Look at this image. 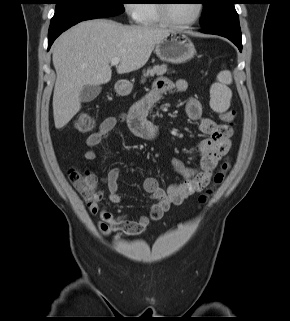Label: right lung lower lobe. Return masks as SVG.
Returning a JSON list of instances; mask_svg holds the SVG:
<instances>
[{
  "label": "right lung lower lobe",
  "mask_w": 290,
  "mask_h": 321,
  "mask_svg": "<svg viewBox=\"0 0 290 321\" xmlns=\"http://www.w3.org/2000/svg\"><path fill=\"white\" fill-rule=\"evenodd\" d=\"M83 20H77V21H69V22H64V23H55V24H50L49 28V34H48V50L51 47L52 43L54 40L65 30L70 28L71 26L81 22Z\"/></svg>",
  "instance_id": "obj_1"
}]
</instances>
